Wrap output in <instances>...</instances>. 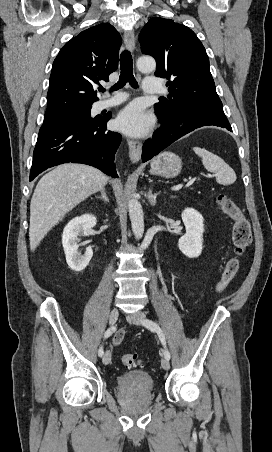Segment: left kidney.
I'll return each mask as SVG.
<instances>
[{
    "label": "left kidney",
    "mask_w": 272,
    "mask_h": 452,
    "mask_svg": "<svg viewBox=\"0 0 272 452\" xmlns=\"http://www.w3.org/2000/svg\"><path fill=\"white\" fill-rule=\"evenodd\" d=\"M186 233L180 237L178 247L189 258H197L203 249V216L193 208H186L181 214Z\"/></svg>",
    "instance_id": "1"
}]
</instances>
